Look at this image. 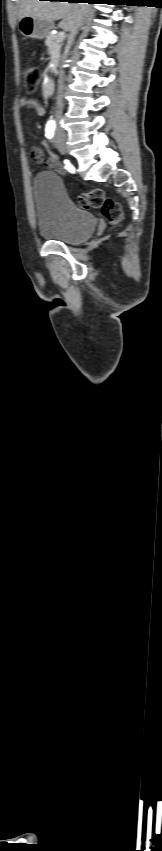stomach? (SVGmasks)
Here are the masks:
<instances>
[{"instance_id": "0dacf381", "label": "stomach", "mask_w": 162, "mask_h": 851, "mask_svg": "<svg viewBox=\"0 0 162 851\" xmlns=\"http://www.w3.org/2000/svg\"><path fill=\"white\" fill-rule=\"evenodd\" d=\"M53 23L25 16L19 19L18 29L26 38L43 39L50 34Z\"/></svg>"}]
</instances>
